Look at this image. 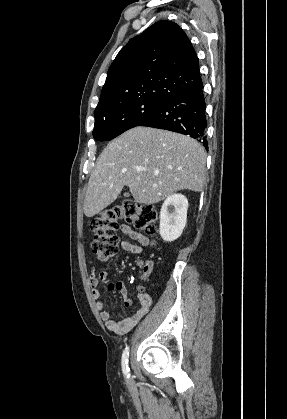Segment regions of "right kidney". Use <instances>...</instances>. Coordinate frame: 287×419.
Listing matches in <instances>:
<instances>
[{
  "mask_svg": "<svg viewBox=\"0 0 287 419\" xmlns=\"http://www.w3.org/2000/svg\"><path fill=\"white\" fill-rule=\"evenodd\" d=\"M188 200L182 194L168 196L160 211L159 233L164 241L179 238L187 221Z\"/></svg>",
  "mask_w": 287,
  "mask_h": 419,
  "instance_id": "right-kidney-1",
  "label": "right kidney"
}]
</instances>
